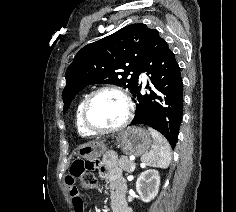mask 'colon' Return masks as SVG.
<instances>
[{
  "label": "colon",
  "mask_w": 236,
  "mask_h": 212,
  "mask_svg": "<svg viewBox=\"0 0 236 212\" xmlns=\"http://www.w3.org/2000/svg\"><path fill=\"white\" fill-rule=\"evenodd\" d=\"M72 174L81 179V186L85 189H93L97 185L95 164L90 161H78L72 167Z\"/></svg>",
  "instance_id": "5ec220e1"
}]
</instances>
